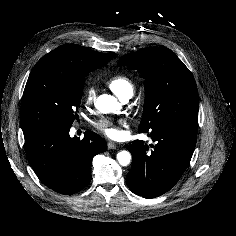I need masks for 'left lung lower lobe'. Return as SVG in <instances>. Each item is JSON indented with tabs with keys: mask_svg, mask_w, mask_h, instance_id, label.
<instances>
[{
	"mask_svg": "<svg viewBox=\"0 0 236 236\" xmlns=\"http://www.w3.org/2000/svg\"><path fill=\"white\" fill-rule=\"evenodd\" d=\"M141 133H148L156 144L151 151L141 140L125 145L133 157L126 183L135 194L154 198L169 191L187 169L196 145L197 124L168 122Z\"/></svg>",
	"mask_w": 236,
	"mask_h": 236,
	"instance_id": "0a47b994",
	"label": "left lung lower lobe"
}]
</instances>
